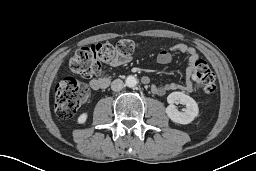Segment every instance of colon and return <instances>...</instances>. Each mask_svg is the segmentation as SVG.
Here are the masks:
<instances>
[{
	"label": "colon",
	"instance_id": "5ec220e1",
	"mask_svg": "<svg viewBox=\"0 0 256 171\" xmlns=\"http://www.w3.org/2000/svg\"><path fill=\"white\" fill-rule=\"evenodd\" d=\"M136 48L137 45L132 40L83 47L70 58L69 68L82 76L92 77L100 73L102 62H110L117 56H129ZM191 76L206 95H212L216 91L215 74L205 61L196 62ZM89 93L86 84L73 77L62 78L55 88L57 114L62 118L71 117L87 101Z\"/></svg>",
	"mask_w": 256,
	"mask_h": 171
}]
</instances>
